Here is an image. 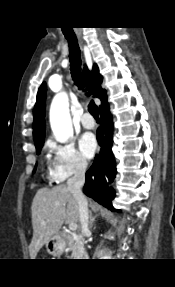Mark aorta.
<instances>
[{
  "instance_id": "aorta-1",
  "label": "aorta",
  "mask_w": 175,
  "mask_h": 287,
  "mask_svg": "<svg viewBox=\"0 0 175 287\" xmlns=\"http://www.w3.org/2000/svg\"><path fill=\"white\" fill-rule=\"evenodd\" d=\"M50 125L56 141L65 143L73 136V126L69 113V99L61 92L52 100L50 107Z\"/></svg>"
}]
</instances>
